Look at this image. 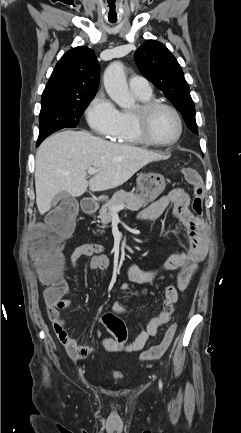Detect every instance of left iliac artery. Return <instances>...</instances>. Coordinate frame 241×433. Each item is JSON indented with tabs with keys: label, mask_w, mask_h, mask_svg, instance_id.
Returning <instances> with one entry per match:
<instances>
[{
	"label": "left iliac artery",
	"mask_w": 241,
	"mask_h": 433,
	"mask_svg": "<svg viewBox=\"0 0 241 433\" xmlns=\"http://www.w3.org/2000/svg\"><path fill=\"white\" fill-rule=\"evenodd\" d=\"M162 386H163V384H162V381H161V379L159 380V388H160V390L162 389Z\"/></svg>",
	"instance_id": "obj_1"
}]
</instances>
